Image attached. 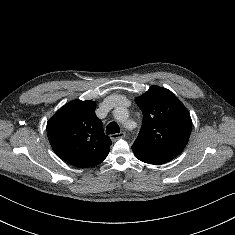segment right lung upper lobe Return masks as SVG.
I'll use <instances>...</instances> for the list:
<instances>
[{
	"mask_svg": "<svg viewBox=\"0 0 235 235\" xmlns=\"http://www.w3.org/2000/svg\"><path fill=\"white\" fill-rule=\"evenodd\" d=\"M96 103L75 100L60 108L47 123L54 152L77 167H93L107 157L111 140L95 114Z\"/></svg>",
	"mask_w": 235,
	"mask_h": 235,
	"instance_id": "1",
	"label": "right lung upper lobe"
}]
</instances>
